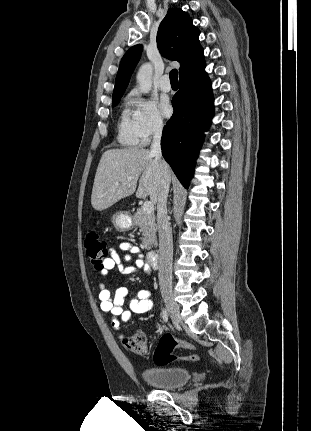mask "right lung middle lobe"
<instances>
[{
	"label": "right lung middle lobe",
	"mask_w": 311,
	"mask_h": 431,
	"mask_svg": "<svg viewBox=\"0 0 311 431\" xmlns=\"http://www.w3.org/2000/svg\"><path fill=\"white\" fill-rule=\"evenodd\" d=\"M121 97L122 96H119V97H116V98L112 99V107H115L118 104V102L120 101Z\"/></svg>",
	"instance_id": "dd1d6c3e"
}]
</instances>
